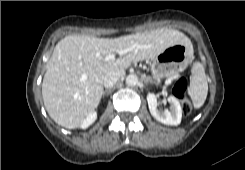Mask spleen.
I'll return each instance as SVG.
<instances>
[{"instance_id":"obj_1","label":"spleen","mask_w":245,"mask_h":170,"mask_svg":"<svg viewBox=\"0 0 245 170\" xmlns=\"http://www.w3.org/2000/svg\"><path fill=\"white\" fill-rule=\"evenodd\" d=\"M188 94L196 109L200 108L206 100L208 83L204 67L200 62H195L192 66Z\"/></svg>"}]
</instances>
